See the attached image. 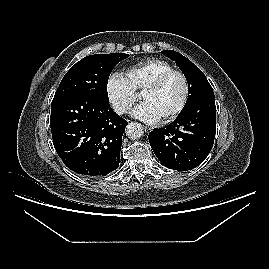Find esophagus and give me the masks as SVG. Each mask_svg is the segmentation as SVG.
Here are the masks:
<instances>
[{
    "label": "esophagus",
    "mask_w": 269,
    "mask_h": 269,
    "mask_svg": "<svg viewBox=\"0 0 269 269\" xmlns=\"http://www.w3.org/2000/svg\"><path fill=\"white\" fill-rule=\"evenodd\" d=\"M143 129H144V131L145 132H150L152 129H151V127H147V126H143Z\"/></svg>",
    "instance_id": "esophagus-1"
}]
</instances>
